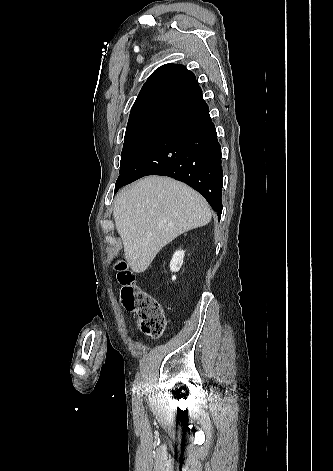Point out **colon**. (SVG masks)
I'll return each mask as SVG.
<instances>
[{
  "label": "colon",
  "mask_w": 333,
  "mask_h": 471,
  "mask_svg": "<svg viewBox=\"0 0 333 471\" xmlns=\"http://www.w3.org/2000/svg\"><path fill=\"white\" fill-rule=\"evenodd\" d=\"M116 269L123 305L128 310L136 312L143 333L152 338L161 337L166 320L160 302L136 286L135 276L124 262H119Z\"/></svg>",
  "instance_id": "1"
}]
</instances>
